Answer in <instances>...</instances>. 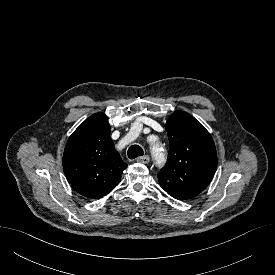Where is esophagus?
Returning a JSON list of instances; mask_svg holds the SVG:
<instances>
[{"label": "esophagus", "mask_w": 275, "mask_h": 275, "mask_svg": "<svg viewBox=\"0 0 275 275\" xmlns=\"http://www.w3.org/2000/svg\"><path fill=\"white\" fill-rule=\"evenodd\" d=\"M137 162L147 164L150 161V157L148 155L140 156L136 159Z\"/></svg>", "instance_id": "obj_1"}]
</instances>
